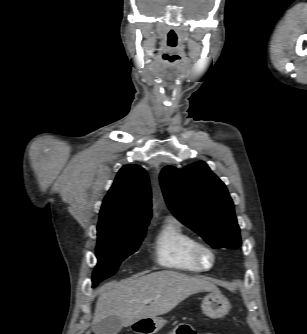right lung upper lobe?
Listing matches in <instances>:
<instances>
[{"instance_id": "1", "label": "right lung upper lobe", "mask_w": 307, "mask_h": 334, "mask_svg": "<svg viewBox=\"0 0 307 334\" xmlns=\"http://www.w3.org/2000/svg\"><path fill=\"white\" fill-rule=\"evenodd\" d=\"M151 218V190L146 171L126 165L104 198L97 231L146 226Z\"/></svg>"}]
</instances>
